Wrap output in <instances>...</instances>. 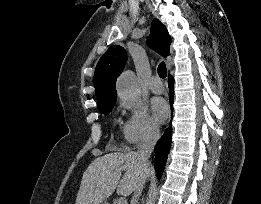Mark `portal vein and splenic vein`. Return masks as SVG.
I'll return each mask as SVG.
<instances>
[{"instance_id": "1", "label": "portal vein and splenic vein", "mask_w": 261, "mask_h": 204, "mask_svg": "<svg viewBox=\"0 0 261 204\" xmlns=\"http://www.w3.org/2000/svg\"><path fill=\"white\" fill-rule=\"evenodd\" d=\"M118 204H127L126 198H125V197H120V198L118 199Z\"/></svg>"}]
</instances>
